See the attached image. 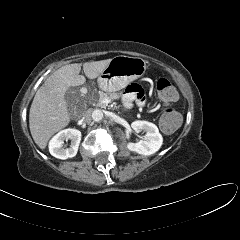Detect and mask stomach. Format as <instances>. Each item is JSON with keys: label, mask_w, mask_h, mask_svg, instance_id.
Instances as JSON below:
<instances>
[{"label": "stomach", "mask_w": 240, "mask_h": 240, "mask_svg": "<svg viewBox=\"0 0 240 240\" xmlns=\"http://www.w3.org/2000/svg\"><path fill=\"white\" fill-rule=\"evenodd\" d=\"M146 68V61L140 57L116 56L98 77V85L103 91H119L140 78Z\"/></svg>", "instance_id": "0dacf381"}]
</instances>
